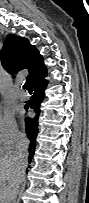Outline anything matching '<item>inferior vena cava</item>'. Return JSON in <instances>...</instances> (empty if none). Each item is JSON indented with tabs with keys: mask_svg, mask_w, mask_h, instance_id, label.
I'll use <instances>...</instances> for the list:
<instances>
[{
	"mask_svg": "<svg viewBox=\"0 0 89 203\" xmlns=\"http://www.w3.org/2000/svg\"><path fill=\"white\" fill-rule=\"evenodd\" d=\"M28 146L29 140L27 138H20L17 142L16 150H15V157L19 162L18 172H19V180L16 184V188L13 194V203H16L17 193L19 191L20 182L25 174V169L27 167L28 162Z\"/></svg>",
	"mask_w": 89,
	"mask_h": 203,
	"instance_id": "inferior-vena-cava-1",
	"label": "inferior vena cava"
}]
</instances>
